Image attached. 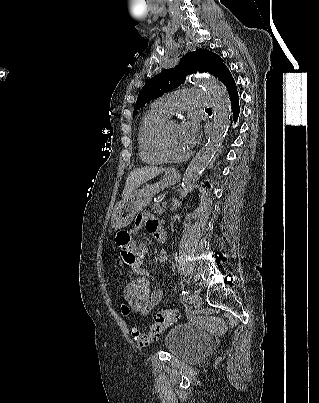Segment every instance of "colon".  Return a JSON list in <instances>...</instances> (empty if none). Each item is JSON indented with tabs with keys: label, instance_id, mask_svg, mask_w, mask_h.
Listing matches in <instances>:
<instances>
[{
	"label": "colon",
	"instance_id": "5ec220e1",
	"mask_svg": "<svg viewBox=\"0 0 319 403\" xmlns=\"http://www.w3.org/2000/svg\"><path fill=\"white\" fill-rule=\"evenodd\" d=\"M151 281L150 275H129L128 285L124 291L126 298L122 301L123 307L118 309V316L123 317V323L127 325L130 341H135L140 346L150 345L180 317L179 311L175 308L160 311L156 314L148 333L140 331V323L134 321L133 310L135 313H147V309H150V300H152ZM129 301L130 308L128 307Z\"/></svg>",
	"mask_w": 319,
	"mask_h": 403
}]
</instances>
